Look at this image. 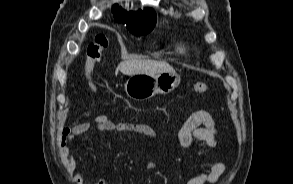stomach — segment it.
Here are the masks:
<instances>
[{
	"mask_svg": "<svg viewBox=\"0 0 293 184\" xmlns=\"http://www.w3.org/2000/svg\"><path fill=\"white\" fill-rule=\"evenodd\" d=\"M181 78L175 72H162L156 74H134L129 77L124 87L128 97L143 101L156 94H168L179 84Z\"/></svg>",
	"mask_w": 293,
	"mask_h": 184,
	"instance_id": "0dacf381",
	"label": "stomach"
}]
</instances>
